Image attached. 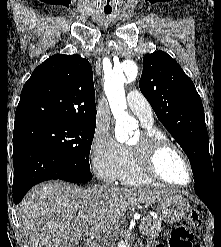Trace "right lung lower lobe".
I'll list each match as a JSON object with an SVG mask.
<instances>
[{"label":"right lung lower lobe","instance_id":"98d812e1","mask_svg":"<svg viewBox=\"0 0 221 247\" xmlns=\"http://www.w3.org/2000/svg\"><path fill=\"white\" fill-rule=\"evenodd\" d=\"M13 201L18 204L34 185L53 179L84 183L92 179L89 170L78 167L51 149L25 139H13Z\"/></svg>","mask_w":221,"mask_h":247}]
</instances>
